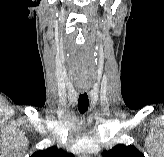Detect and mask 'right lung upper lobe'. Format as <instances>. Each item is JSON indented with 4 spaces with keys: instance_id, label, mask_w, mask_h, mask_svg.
Here are the masks:
<instances>
[{
    "instance_id": "cb5924a9",
    "label": "right lung upper lobe",
    "mask_w": 164,
    "mask_h": 157,
    "mask_svg": "<svg viewBox=\"0 0 164 157\" xmlns=\"http://www.w3.org/2000/svg\"><path fill=\"white\" fill-rule=\"evenodd\" d=\"M30 157H74V155L67 153L62 149H58L56 146H53L45 150L37 151Z\"/></svg>"
}]
</instances>
